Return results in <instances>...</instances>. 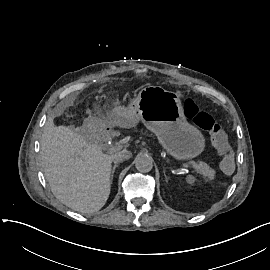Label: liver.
I'll list each match as a JSON object with an SVG mask.
<instances>
[{
    "label": "liver",
    "mask_w": 270,
    "mask_h": 270,
    "mask_svg": "<svg viewBox=\"0 0 270 270\" xmlns=\"http://www.w3.org/2000/svg\"><path fill=\"white\" fill-rule=\"evenodd\" d=\"M135 120L124 122L132 127ZM128 144L124 151L128 152ZM130 154V153H129ZM44 175L55 197L66 206L90 213L100 210L111 192V156L103 154L98 140L84 139L50 118L41 139Z\"/></svg>",
    "instance_id": "obj_1"
}]
</instances>
